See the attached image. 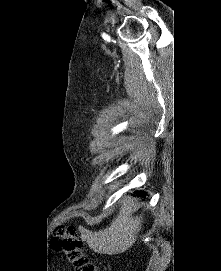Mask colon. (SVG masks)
<instances>
[{
    "label": "colon",
    "mask_w": 221,
    "mask_h": 271,
    "mask_svg": "<svg viewBox=\"0 0 221 271\" xmlns=\"http://www.w3.org/2000/svg\"><path fill=\"white\" fill-rule=\"evenodd\" d=\"M54 238L58 249L78 271H97L96 265L88 260L83 250L84 242L76 229L72 226H62L57 229Z\"/></svg>",
    "instance_id": "obj_1"
}]
</instances>
